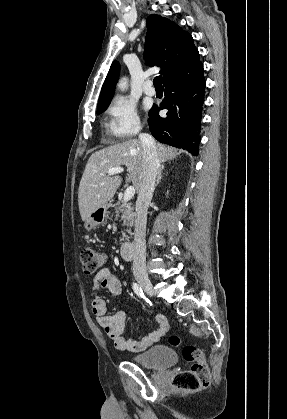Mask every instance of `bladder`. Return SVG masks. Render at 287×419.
Returning <instances> with one entry per match:
<instances>
[{"label": "bladder", "mask_w": 287, "mask_h": 419, "mask_svg": "<svg viewBox=\"0 0 287 419\" xmlns=\"http://www.w3.org/2000/svg\"><path fill=\"white\" fill-rule=\"evenodd\" d=\"M174 350L166 345L149 348L132 357V361L148 369L165 370L176 363Z\"/></svg>", "instance_id": "1"}]
</instances>
